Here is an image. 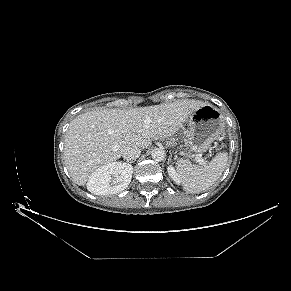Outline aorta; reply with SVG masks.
<instances>
[{
    "instance_id": "762f6f07",
    "label": "aorta",
    "mask_w": 291,
    "mask_h": 291,
    "mask_svg": "<svg viewBox=\"0 0 291 291\" xmlns=\"http://www.w3.org/2000/svg\"><path fill=\"white\" fill-rule=\"evenodd\" d=\"M151 156L153 160L161 162L165 158V152L162 149L156 148L152 151Z\"/></svg>"
}]
</instances>
